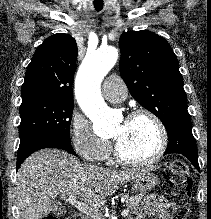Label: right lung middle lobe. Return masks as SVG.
<instances>
[{
  "label": "right lung middle lobe",
  "mask_w": 211,
  "mask_h": 219,
  "mask_svg": "<svg viewBox=\"0 0 211 219\" xmlns=\"http://www.w3.org/2000/svg\"><path fill=\"white\" fill-rule=\"evenodd\" d=\"M72 113L73 101L52 98H33L22 101L20 145L39 137H54L70 143Z\"/></svg>",
  "instance_id": "right-lung-middle-lobe-1"
}]
</instances>
